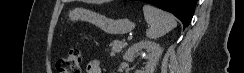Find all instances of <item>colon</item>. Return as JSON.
I'll list each match as a JSON object with an SVG mask.
<instances>
[{
  "label": "colon",
  "mask_w": 244,
  "mask_h": 73,
  "mask_svg": "<svg viewBox=\"0 0 244 73\" xmlns=\"http://www.w3.org/2000/svg\"><path fill=\"white\" fill-rule=\"evenodd\" d=\"M81 60V51L73 48L58 60L57 69L61 73H80Z\"/></svg>",
  "instance_id": "colon-1"
}]
</instances>
